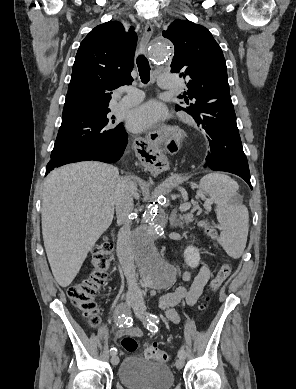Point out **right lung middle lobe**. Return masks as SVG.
I'll use <instances>...</instances> for the list:
<instances>
[{
    "mask_svg": "<svg viewBox=\"0 0 296 389\" xmlns=\"http://www.w3.org/2000/svg\"><path fill=\"white\" fill-rule=\"evenodd\" d=\"M108 113H77L62 117L47 167L54 164L56 158H73L83 149L109 147L121 140L124 127L122 124L113 125L115 121L108 118Z\"/></svg>",
    "mask_w": 296,
    "mask_h": 389,
    "instance_id": "dd1d6c3e",
    "label": "right lung middle lobe"
}]
</instances>
